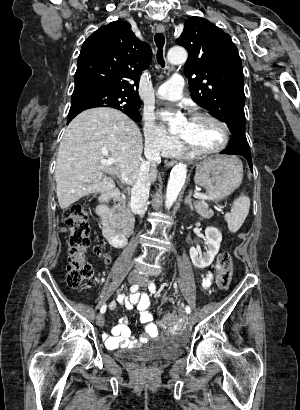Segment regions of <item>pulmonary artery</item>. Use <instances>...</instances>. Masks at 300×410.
Instances as JSON below:
<instances>
[{
	"label": "pulmonary artery",
	"mask_w": 300,
	"mask_h": 410,
	"mask_svg": "<svg viewBox=\"0 0 300 410\" xmlns=\"http://www.w3.org/2000/svg\"><path fill=\"white\" fill-rule=\"evenodd\" d=\"M184 80L179 75H172L156 91V97L163 100H179L183 96Z\"/></svg>",
	"instance_id": "pulmonary-artery-1"
}]
</instances>
